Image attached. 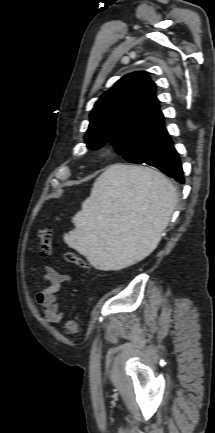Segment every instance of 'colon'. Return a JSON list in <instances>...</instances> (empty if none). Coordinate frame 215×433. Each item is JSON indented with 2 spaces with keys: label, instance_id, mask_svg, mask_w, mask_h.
<instances>
[{
  "label": "colon",
  "instance_id": "colon-1",
  "mask_svg": "<svg viewBox=\"0 0 215 433\" xmlns=\"http://www.w3.org/2000/svg\"><path fill=\"white\" fill-rule=\"evenodd\" d=\"M40 250L43 256H50L52 253V230L49 227H42L38 230ZM67 262L75 264L81 268H86L87 263L77 253L68 251L65 253ZM81 330V323L78 320L70 319L64 324V332L67 335H76Z\"/></svg>",
  "mask_w": 215,
  "mask_h": 433
}]
</instances>
